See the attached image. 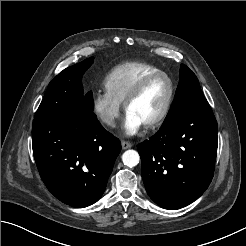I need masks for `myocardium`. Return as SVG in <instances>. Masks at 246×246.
Returning <instances> with one entry per match:
<instances>
[{"label": "myocardium", "instance_id": "obj_1", "mask_svg": "<svg viewBox=\"0 0 246 246\" xmlns=\"http://www.w3.org/2000/svg\"><path fill=\"white\" fill-rule=\"evenodd\" d=\"M158 77H164L167 79V81L169 83V87H170L169 95H168V98H167L166 103L164 105V108L162 109L160 114L156 118H154L152 121L145 124L146 128H155V127L159 126L168 116V114L171 110L173 101H174L175 91H176L175 83H174L172 77L164 71H157V72L150 73V74L144 76L135 85V87L131 90V92L128 94V96L126 97V99L124 101V109H125V111L128 112L129 106L141 95V93L144 91V89L147 87V85L151 81H153L154 79H156Z\"/></svg>", "mask_w": 246, "mask_h": 246}]
</instances>
